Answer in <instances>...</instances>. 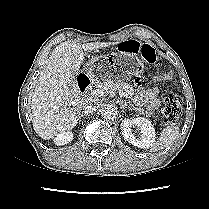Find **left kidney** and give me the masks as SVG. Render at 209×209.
Here are the masks:
<instances>
[{"instance_id":"left-kidney-1","label":"left kidney","mask_w":209,"mask_h":209,"mask_svg":"<svg viewBox=\"0 0 209 209\" xmlns=\"http://www.w3.org/2000/svg\"><path fill=\"white\" fill-rule=\"evenodd\" d=\"M121 132L126 141L138 148H150L155 142V129L146 118H126L121 122ZM137 126L140 130L139 138L132 133L131 127Z\"/></svg>"}]
</instances>
